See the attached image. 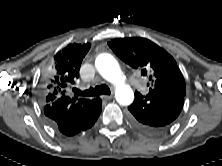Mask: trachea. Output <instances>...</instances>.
Returning a JSON list of instances; mask_svg holds the SVG:
<instances>
[{"instance_id": "3493384b", "label": "trachea", "mask_w": 222, "mask_h": 166, "mask_svg": "<svg viewBox=\"0 0 222 166\" xmlns=\"http://www.w3.org/2000/svg\"><path fill=\"white\" fill-rule=\"evenodd\" d=\"M74 92L76 95H81V96H98V95H102V94L110 95V93H111L110 88L105 84L96 86L95 88H90L85 91H80L78 89H74Z\"/></svg>"}]
</instances>
